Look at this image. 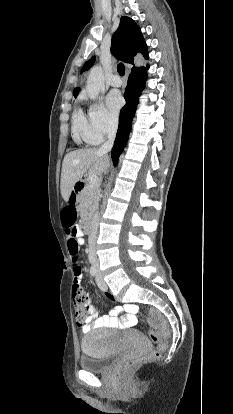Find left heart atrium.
<instances>
[{
    "label": "left heart atrium",
    "instance_id": "left-heart-atrium-1",
    "mask_svg": "<svg viewBox=\"0 0 233 414\" xmlns=\"http://www.w3.org/2000/svg\"><path fill=\"white\" fill-rule=\"evenodd\" d=\"M106 101L109 109L114 114H117L124 104L123 97L118 91H111L107 95Z\"/></svg>",
    "mask_w": 233,
    "mask_h": 414
}]
</instances>
